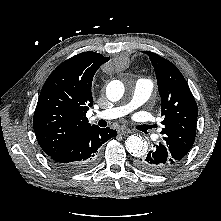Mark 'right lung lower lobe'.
I'll use <instances>...</instances> for the list:
<instances>
[{"mask_svg": "<svg viewBox=\"0 0 221 221\" xmlns=\"http://www.w3.org/2000/svg\"><path fill=\"white\" fill-rule=\"evenodd\" d=\"M115 136H117L115 130L93 126L49 155V158L64 172L80 173L95 165L101 146Z\"/></svg>", "mask_w": 221, "mask_h": 221, "instance_id": "obj_1", "label": "right lung lower lobe"}]
</instances>
